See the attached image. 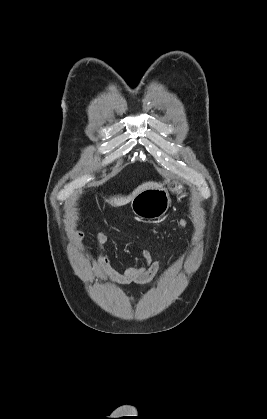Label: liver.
I'll return each instance as SVG.
<instances>
[{
	"mask_svg": "<svg viewBox=\"0 0 267 419\" xmlns=\"http://www.w3.org/2000/svg\"><path fill=\"white\" fill-rule=\"evenodd\" d=\"M161 185H162L161 183H157V182H153V181L145 182V183L139 185L132 192V194H130L129 196H127V197H122V196L113 197L109 200H106V202H108L112 206H120V205L126 204L129 201H131L141 191L149 189V188L160 187Z\"/></svg>",
	"mask_w": 267,
	"mask_h": 419,
	"instance_id": "1",
	"label": "liver"
}]
</instances>
